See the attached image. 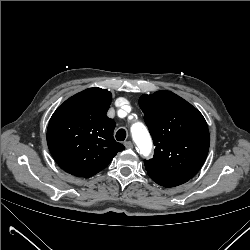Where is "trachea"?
Segmentation results:
<instances>
[{"instance_id":"trachea-1","label":"trachea","mask_w":250,"mask_h":250,"mask_svg":"<svg viewBox=\"0 0 250 250\" xmlns=\"http://www.w3.org/2000/svg\"><path fill=\"white\" fill-rule=\"evenodd\" d=\"M126 138V131L124 129H119L116 133V139L118 141H124Z\"/></svg>"}]
</instances>
